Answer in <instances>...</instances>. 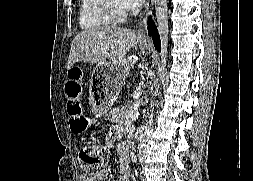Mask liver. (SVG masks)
<instances>
[{
    "label": "liver",
    "mask_w": 253,
    "mask_h": 181,
    "mask_svg": "<svg viewBox=\"0 0 253 181\" xmlns=\"http://www.w3.org/2000/svg\"><path fill=\"white\" fill-rule=\"evenodd\" d=\"M136 40V33L127 28L103 26L86 29L72 41L67 68L80 61L92 64L117 63L126 58Z\"/></svg>",
    "instance_id": "liver-1"
}]
</instances>
